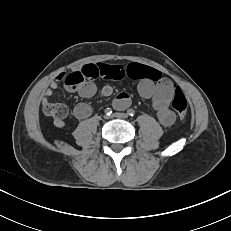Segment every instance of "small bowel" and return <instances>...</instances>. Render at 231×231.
<instances>
[{
	"label": "small bowel",
	"mask_w": 231,
	"mask_h": 231,
	"mask_svg": "<svg viewBox=\"0 0 231 231\" xmlns=\"http://www.w3.org/2000/svg\"><path fill=\"white\" fill-rule=\"evenodd\" d=\"M147 69L151 68L139 63H131L128 66L104 63L86 64L79 70L85 81L78 88V94L83 98L92 97L96 93V86L93 81L98 78L119 80L126 76L132 77L139 80L138 92L140 96L145 99H152L153 108L160 123L166 127L171 126L175 121V115L169 108L174 95V84L162 76L157 81L151 79ZM65 77V73H60L50 81L48 88L44 91L43 102H48V98L52 96L59 82ZM112 93L113 89L109 85L100 90V94L104 97L110 96ZM130 102V96L122 92L116 96L114 107L124 109L130 105ZM91 113L92 109L86 103H79L73 109V115L78 120L86 119ZM55 125L58 128H64L65 126L64 122L59 120H55Z\"/></svg>",
	"instance_id": "obj_1"
}]
</instances>
